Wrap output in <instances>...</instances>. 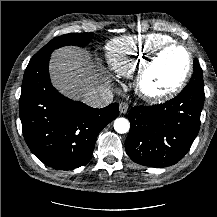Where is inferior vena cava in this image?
Listing matches in <instances>:
<instances>
[{"label":"inferior vena cava","instance_id":"obj_1","mask_svg":"<svg viewBox=\"0 0 217 217\" xmlns=\"http://www.w3.org/2000/svg\"><path fill=\"white\" fill-rule=\"evenodd\" d=\"M113 91L103 86L91 89L83 98V102L93 108H103L113 102Z\"/></svg>","mask_w":217,"mask_h":217}]
</instances>
